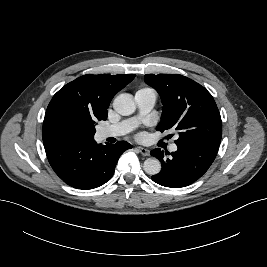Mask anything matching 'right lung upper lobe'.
<instances>
[{
    "label": "right lung upper lobe",
    "instance_id": "cb5924a9",
    "mask_svg": "<svg viewBox=\"0 0 267 267\" xmlns=\"http://www.w3.org/2000/svg\"><path fill=\"white\" fill-rule=\"evenodd\" d=\"M134 77V74H88L66 84L53 96L47 107L43 139L62 138V129L68 121L94 127L96 121L106 120L112 98Z\"/></svg>",
    "mask_w": 267,
    "mask_h": 267
}]
</instances>
